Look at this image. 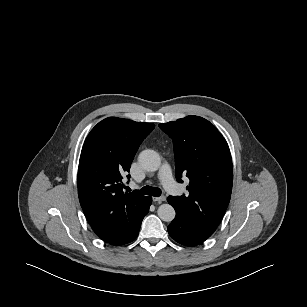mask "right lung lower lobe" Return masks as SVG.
Returning a JSON list of instances; mask_svg holds the SVG:
<instances>
[{
	"mask_svg": "<svg viewBox=\"0 0 307 307\" xmlns=\"http://www.w3.org/2000/svg\"><path fill=\"white\" fill-rule=\"evenodd\" d=\"M151 202H152V198L149 197V200H148V211H149V207H150V205H151ZM138 233H139V231H138ZM138 233H137V235H138ZM137 235H136V237H137ZM136 237H135V238H136Z\"/></svg>",
	"mask_w": 307,
	"mask_h": 307,
	"instance_id": "right-lung-lower-lobe-1",
	"label": "right lung lower lobe"
}]
</instances>
